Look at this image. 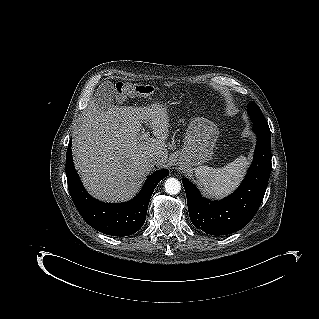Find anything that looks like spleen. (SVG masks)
<instances>
[{
    "instance_id": "spleen-1",
    "label": "spleen",
    "mask_w": 319,
    "mask_h": 319,
    "mask_svg": "<svg viewBox=\"0 0 319 319\" xmlns=\"http://www.w3.org/2000/svg\"><path fill=\"white\" fill-rule=\"evenodd\" d=\"M247 165L246 157L240 156L222 168L197 167L195 176L208 195L222 198L238 186Z\"/></svg>"
}]
</instances>
